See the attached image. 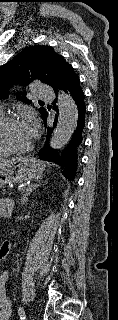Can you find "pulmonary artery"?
Wrapping results in <instances>:
<instances>
[{
  "mask_svg": "<svg viewBox=\"0 0 118 320\" xmlns=\"http://www.w3.org/2000/svg\"><path fill=\"white\" fill-rule=\"evenodd\" d=\"M33 90L35 91L37 96L42 100H49L54 98L53 91L50 88L41 84H35L33 86Z\"/></svg>",
  "mask_w": 118,
  "mask_h": 320,
  "instance_id": "obj_1",
  "label": "pulmonary artery"
}]
</instances>
